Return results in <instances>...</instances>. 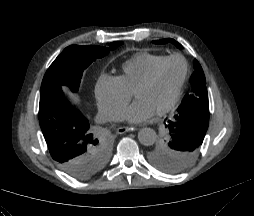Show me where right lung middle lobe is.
<instances>
[{"mask_svg": "<svg viewBox=\"0 0 254 216\" xmlns=\"http://www.w3.org/2000/svg\"><path fill=\"white\" fill-rule=\"evenodd\" d=\"M121 44V41H116L112 42L109 47L71 45L65 48L48 68L41 84V92L49 89H61L63 85L69 86L73 92L77 91L83 72L87 67L93 61L104 57ZM93 134L98 140L99 147L96 158L99 161L101 170L110 155L109 143L95 130H93ZM75 169L78 170L79 165H75ZM81 178L83 179V177Z\"/></svg>", "mask_w": 254, "mask_h": 216, "instance_id": "obj_1", "label": "right lung middle lobe"}]
</instances>
